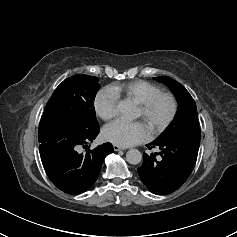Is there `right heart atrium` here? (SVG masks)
Instances as JSON below:
<instances>
[{
    "mask_svg": "<svg viewBox=\"0 0 237 237\" xmlns=\"http://www.w3.org/2000/svg\"><path fill=\"white\" fill-rule=\"evenodd\" d=\"M118 97L109 88L98 91L94 98V110L98 117L104 121L114 118L118 110Z\"/></svg>",
    "mask_w": 237,
    "mask_h": 237,
    "instance_id": "right-heart-atrium-1",
    "label": "right heart atrium"
}]
</instances>
